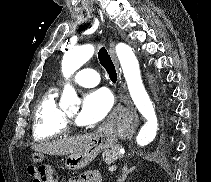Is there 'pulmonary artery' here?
Returning <instances> with one entry per match:
<instances>
[{
  "mask_svg": "<svg viewBox=\"0 0 211 182\" xmlns=\"http://www.w3.org/2000/svg\"><path fill=\"white\" fill-rule=\"evenodd\" d=\"M74 81L84 87H93L100 82V76L93 69H81L74 75Z\"/></svg>",
  "mask_w": 211,
  "mask_h": 182,
  "instance_id": "obj_1",
  "label": "pulmonary artery"
}]
</instances>
